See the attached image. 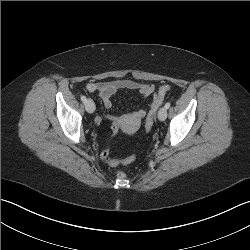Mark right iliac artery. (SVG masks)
<instances>
[{"label":"right iliac artery","mask_w":250,"mask_h":250,"mask_svg":"<svg viewBox=\"0 0 250 250\" xmlns=\"http://www.w3.org/2000/svg\"><path fill=\"white\" fill-rule=\"evenodd\" d=\"M81 100L85 103L87 101L85 96H81Z\"/></svg>","instance_id":"1"}]
</instances>
